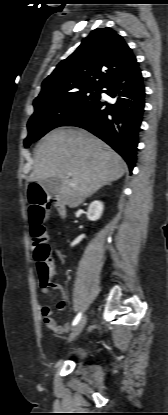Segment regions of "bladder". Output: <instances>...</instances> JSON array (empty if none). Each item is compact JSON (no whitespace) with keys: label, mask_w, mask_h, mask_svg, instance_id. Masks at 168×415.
I'll return each mask as SVG.
<instances>
[{"label":"bladder","mask_w":168,"mask_h":415,"mask_svg":"<svg viewBox=\"0 0 168 415\" xmlns=\"http://www.w3.org/2000/svg\"><path fill=\"white\" fill-rule=\"evenodd\" d=\"M74 354H75V356H76L77 358L82 359V358H84V357H85L86 352H85V350H84V349H82V348H77V349L74 351Z\"/></svg>","instance_id":"31cf9c89"}]
</instances>
